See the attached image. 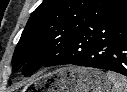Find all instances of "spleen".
<instances>
[{
  "mask_svg": "<svg viewBox=\"0 0 127 92\" xmlns=\"http://www.w3.org/2000/svg\"><path fill=\"white\" fill-rule=\"evenodd\" d=\"M106 77L112 83L111 92H127V78L113 72H107Z\"/></svg>",
  "mask_w": 127,
  "mask_h": 92,
  "instance_id": "spleen-1",
  "label": "spleen"
}]
</instances>
